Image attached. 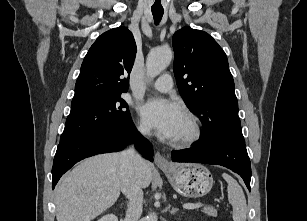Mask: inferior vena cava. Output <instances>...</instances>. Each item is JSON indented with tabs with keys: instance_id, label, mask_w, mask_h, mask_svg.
Segmentation results:
<instances>
[{
	"instance_id": "obj_1",
	"label": "inferior vena cava",
	"mask_w": 307,
	"mask_h": 221,
	"mask_svg": "<svg viewBox=\"0 0 307 221\" xmlns=\"http://www.w3.org/2000/svg\"><path fill=\"white\" fill-rule=\"evenodd\" d=\"M145 134L144 128L139 129ZM124 159V174L121 190L129 199L125 221H138L142 214L143 190L138 179V172L145 161L134 151L133 147L122 152Z\"/></svg>"
}]
</instances>
